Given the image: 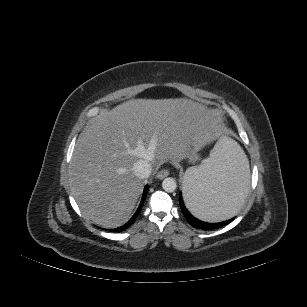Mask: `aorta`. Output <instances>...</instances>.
I'll list each match as a JSON object with an SVG mask.
<instances>
[{"label": "aorta", "instance_id": "1", "mask_svg": "<svg viewBox=\"0 0 307 307\" xmlns=\"http://www.w3.org/2000/svg\"><path fill=\"white\" fill-rule=\"evenodd\" d=\"M162 188L164 189V191L172 193L176 190L177 188V184L175 179L168 177L165 178L162 182Z\"/></svg>", "mask_w": 307, "mask_h": 307}]
</instances>
